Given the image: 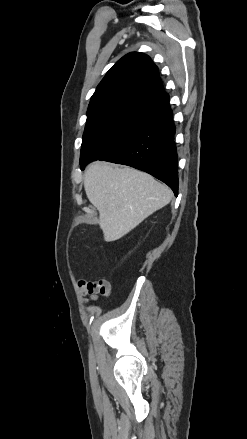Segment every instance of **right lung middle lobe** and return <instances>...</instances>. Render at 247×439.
<instances>
[{
	"label": "right lung middle lobe",
	"mask_w": 247,
	"mask_h": 439,
	"mask_svg": "<svg viewBox=\"0 0 247 439\" xmlns=\"http://www.w3.org/2000/svg\"><path fill=\"white\" fill-rule=\"evenodd\" d=\"M153 114L126 102H111L88 109L81 145V167L100 159L124 142Z\"/></svg>",
	"instance_id": "1"
}]
</instances>
